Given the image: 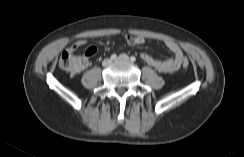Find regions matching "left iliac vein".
Here are the masks:
<instances>
[{"label": "left iliac vein", "mask_w": 244, "mask_h": 157, "mask_svg": "<svg viewBox=\"0 0 244 157\" xmlns=\"http://www.w3.org/2000/svg\"><path fill=\"white\" fill-rule=\"evenodd\" d=\"M118 61H128L129 57L126 54H121L118 58Z\"/></svg>", "instance_id": "obj_1"}]
</instances>
